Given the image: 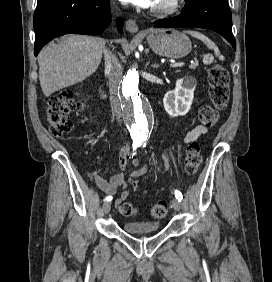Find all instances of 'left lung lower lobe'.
Instances as JSON below:
<instances>
[{
    "instance_id": "obj_1",
    "label": "left lung lower lobe",
    "mask_w": 272,
    "mask_h": 282,
    "mask_svg": "<svg viewBox=\"0 0 272 282\" xmlns=\"http://www.w3.org/2000/svg\"><path fill=\"white\" fill-rule=\"evenodd\" d=\"M185 1V10L180 15L156 21L154 25L159 28L195 27L210 29L222 35L236 49L228 0Z\"/></svg>"
}]
</instances>
